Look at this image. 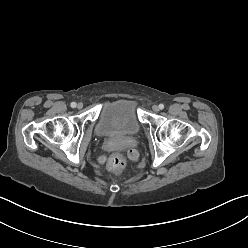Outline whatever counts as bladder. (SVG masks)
Returning a JSON list of instances; mask_svg holds the SVG:
<instances>
[{"label": "bladder", "mask_w": 248, "mask_h": 248, "mask_svg": "<svg viewBox=\"0 0 248 248\" xmlns=\"http://www.w3.org/2000/svg\"><path fill=\"white\" fill-rule=\"evenodd\" d=\"M141 129L135 105L127 99L103 103L95 122L94 133L101 138L132 136Z\"/></svg>", "instance_id": "1"}]
</instances>
